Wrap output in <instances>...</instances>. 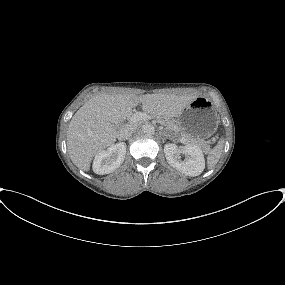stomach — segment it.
I'll list each match as a JSON object with an SVG mask.
<instances>
[{
    "label": "stomach",
    "mask_w": 285,
    "mask_h": 285,
    "mask_svg": "<svg viewBox=\"0 0 285 285\" xmlns=\"http://www.w3.org/2000/svg\"><path fill=\"white\" fill-rule=\"evenodd\" d=\"M176 122L187 136L205 139L217 130L219 116L211 100L197 96L177 115Z\"/></svg>",
    "instance_id": "obj_1"
}]
</instances>
